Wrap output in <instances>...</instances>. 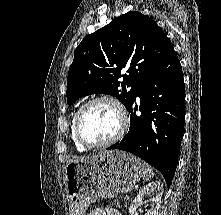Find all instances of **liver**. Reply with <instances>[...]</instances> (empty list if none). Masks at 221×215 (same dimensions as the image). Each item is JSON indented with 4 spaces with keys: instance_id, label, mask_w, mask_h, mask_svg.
<instances>
[{
    "instance_id": "obj_1",
    "label": "liver",
    "mask_w": 221,
    "mask_h": 215,
    "mask_svg": "<svg viewBox=\"0 0 221 215\" xmlns=\"http://www.w3.org/2000/svg\"><path fill=\"white\" fill-rule=\"evenodd\" d=\"M73 161H77V160H69L68 163L73 162Z\"/></svg>"
}]
</instances>
